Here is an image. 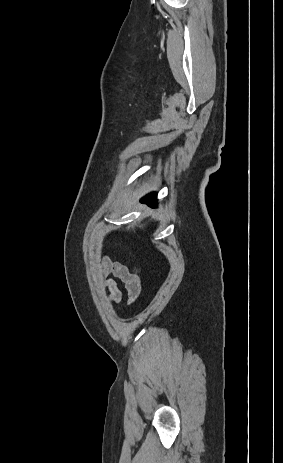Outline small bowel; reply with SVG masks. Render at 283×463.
<instances>
[{"label":"small bowel","mask_w":283,"mask_h":463,"mask_svg":"<svg viewBox=\"0 0 283 463\" xmlns=\"http://www.w3.org/2000/svg\"><path fill=\"white\" fill-rule=\"evenodd\" d=\"M102 287L109 292L106 303L109 306H115L122 300V292L115 278L125 283L128 291L129 301H133L137 290V285L133 280L132 274L122 264L104 257L100 268ZM113 276V277H111Z\"/></svg>","instance_id":"small-bowel-1"}]
</instances>
